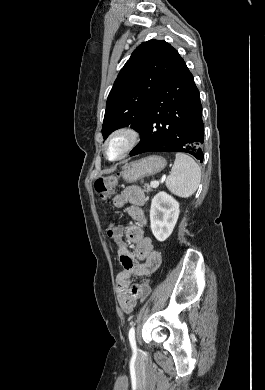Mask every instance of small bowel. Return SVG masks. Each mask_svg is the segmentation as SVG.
I'll list each match as a JSON object with an SVG mask.
<instances>
[{"label":"small bowel","mask_w":265,"mask_h":390,"mask_svg":"<svg viewBox=\"0 0 265 390\" xmlns=\"http://www.w3.org/2000/svg\"><path fill=\"white\" fill-rule=\"evenodd\" d=\"M145 194L139 187H127L113 199L117 208L130 205L129 214L137 221L126 228L118 226L120 238L116 242L122 271L116 277L119 304L123 311L130 313L140 299V285L132 284L133 276H148L154 273L161 264V255L153 248L152 240L145 235L142 224L145 221L142 206ZM126 234L127 241L123 239ZM128 244L134 245V251Z\"/></svg>","instance_id":"c3829d8e"}]
</instances>
